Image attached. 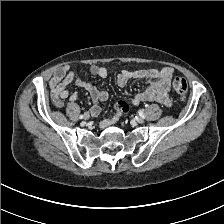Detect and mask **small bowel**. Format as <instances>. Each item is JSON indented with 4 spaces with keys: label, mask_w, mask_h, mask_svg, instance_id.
<instances>
[{
    "label": "small bowel",
    "mask_w": 224,
    "mask_h": 224,
    "mask_svg": "<svg viewBox=\"0 0 224 224\" xmlns=\"http://www.w3.org/2000/svg\"><path fill=\"white\" fill-rule=\"evenodd\" d=\"M90 73L94 76L105 78L107 76L106 68L93 64L90 66ZM173 69L171 67H160L153 69H138L135 71L122 70L117 78L119 86H125L131 79H145L149 86L141 92L135 94L129 100L131 106H138L142 102L157 101L164 106H171L172 99L169 95L171 79L173 77ZM74 82L76 86L86 90L91 96L94 106L91 108V113L97 115L100 111L99 102L108 99V93L105 90L97 88L91 82L76 75L69 66H63L57 69L49 81L51 97L57 107L62 106V101L69 97L71 101L78 98L77 93L70 94L67 86ZM118 119V115L111 119H107L101 123V127H106L113 124Z\"/></svg>",
    "instance_id": "small-bowel-1"
}]
</instances>
